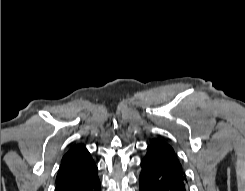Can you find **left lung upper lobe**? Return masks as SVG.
<instances>
[{
    "label": "left lung upper lobe",
    "mask_w": 245,
    "mask_h": 191,
    "mask_svg": "<svg viewBox=\"0 0 245 191\" xmlns=\"http://www.w3.org/2000/svg\"><path fill=\"white\" fill-rule=\"evenodd\" d=\"M148 148L158 149L159 151L163 153H166L174 158H177L173 148L168 143L162 140H159V139L152 140Z\"/></svg>",
    "instance_id": "1"
}]
</instances>
